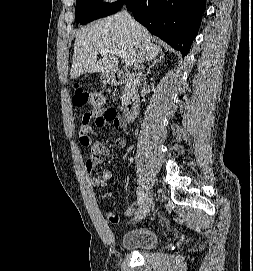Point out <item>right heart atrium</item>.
<instances>
[{
  "label": "right heart atrium",
  "instance_id": "obj_1",
  "mask_svg": "<svg viewBox=\"0 0 253 271\" xmlns=\"http://www.w3.org/2000/svg\"><path fill=\"white\" fill-rule=\"evenodd\" d=\"M105 1H107V2H112V1H114V0H105Z\"/></svg>",
  "mask_w": 253,
  "mask_h": 271
}]
</instances>
